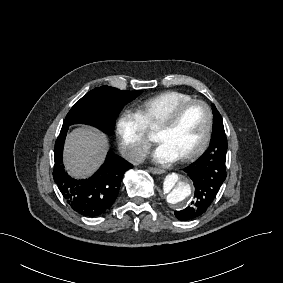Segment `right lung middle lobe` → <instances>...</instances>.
<instances>
[{
	"mask_svg": "<svg viewBox=\"0 0 283 283\" xmlns=\"http://www.w3.org/2000/svg\"><path fill=\"white\" fill-rule=\"evenodd\" d=\"M141 93L142 90L128 91L110 86L97 87L74 104L63 126L82 123L95 126L104 133L111 134L122 108Z\"/></svg>",
	"mask_w": 283,
	"mask_h": 283,
	"instance_id": "obj_1",
	"label": "right lung middle lobe"
}]
</instances>
